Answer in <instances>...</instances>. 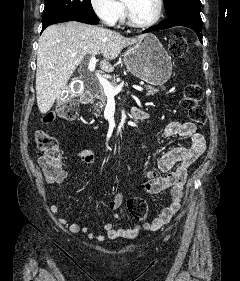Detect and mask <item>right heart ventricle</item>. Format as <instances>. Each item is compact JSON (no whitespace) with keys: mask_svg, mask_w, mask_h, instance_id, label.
<instances>
[{"mask_svg":"<svg viewBox=\"0 0 240 281\" xmlns=\"http://www.w3.org/2000/svg\"><path fill=\"white\" fill-rule=\"evenodd\" d=\"M122 5H123V4H122ZM123 8H124V6H123ZM124 16H125V9H124V12H123V15H122L121 19H123Z\"/></svg>","mask_w":240,"mask_h":281,"instance_id":"obj_1","label":"right heart ventricle"}]
</instances>
